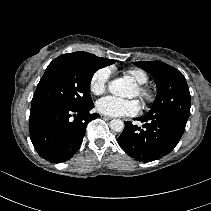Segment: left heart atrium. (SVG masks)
<instances>
[{
    "instance_id": "39dd6f15",
    "label": "left heart atrium",
    "mask_w": 211,
    "mask_h": 211,
    "mask_svg": "<svg viewBox=\"0 0 211 211\" xmlns=\"http://www.w3.org/2000/svg\"><path fill=\"white\" fill-rule=\"evenodd\" d=\"M98 112L109 116L135 115L140 110L137 100H127L116 96H106L96 103Z\"/></svg>"
}]
</instances>
